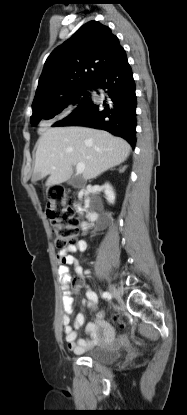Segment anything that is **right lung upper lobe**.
<instances>
[{"label": "right lung upper lobe", "instance_id": "cb5924a9", "mask_svg": "<svg viewBox=\"0 0 187 415\" xmlns=\"http://www.w3.org/2000/svg\"><path fill=\"white\" fill-rule=\"evenodd\" d=\"M124 51L109 27L84 24L47 58L32 108L60 101L77 87L92 84Z\"/></svg>", "mask_w": 187, "mask_h": 415}]
</instances>
